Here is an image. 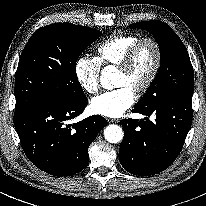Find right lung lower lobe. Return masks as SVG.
Here are the masks:
<instances>
[{"label":"right lung lower lobe","instance_id":"right-lung-lower-lobe-1","mask_svg":"<svg viewBox=\"0 0 206 206\" xmlns=\"http://www.w3.org/2000/svg\"><path fill=\"white\" fill-rule=\"evenodd\" d=\"M88 100L42 101L14 114V124L23 150L40 170L53 176H70L88 163V147L107 125L99 115L76 124H66L80 115Z\"/></svg>","mask_w":206,"mask_h":206}]
</instances>
